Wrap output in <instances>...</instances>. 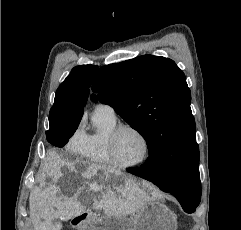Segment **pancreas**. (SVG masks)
<instances>
[{
  "label": "pancreas",
  "mask_w": 241,
  "mask_h": 230,
  "mask_svg": "<svg viewBox=\"0 0 241 230\" xmlns=\"http://www.w3.org/2000/svg\"><path fill=\"white\" fill-rule=\"evenodd\" d=\"M93 219H94L95 221L99 220V218H98V217H94Z\"/></svg>",
  "instance_id": "1"
}]
</instances>
